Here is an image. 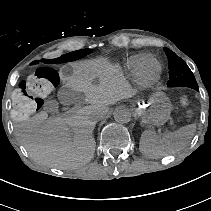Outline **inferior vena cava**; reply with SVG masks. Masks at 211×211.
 I'll use <instances>...</instances> for the list:
<instances>
[{
	"label": "inferior vena cava",
	"instance_id": "inferior-vena-cava-1",
	"mask_svg": "<svg viewBox=\"0 0 211 211\" xmlns=\"http://www.w3.org/2000/svg\"><path fill=\"white\" fill-rule=\"evenodd\" d=\"M101 119V113L95 114V120L98 121Z\"/></svg>",
	"mask_w": 211,
	"mask_h": 211
}]
</instances>
